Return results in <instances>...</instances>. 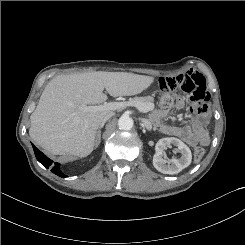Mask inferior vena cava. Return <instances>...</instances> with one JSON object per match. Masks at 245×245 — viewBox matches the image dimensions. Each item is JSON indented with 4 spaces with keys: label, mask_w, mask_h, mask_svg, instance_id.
Wrapping results in <instances>:
<instances>
[{
    "label": "inferior vena cava",
    "mask_w": 245,
    "mask_h": 245,
    "mask_svg": "<svg viewBox=\"0 0 245 245\" xmlns=\"http://www.w3.org/2000/svg\"><path fill=\"white\" fill-rule=\"evenodd\" d=\"M113 115H114L113 112L107 114V115L102 119V121H101V123H100V126H101V125H104L105 122H106L107 120H109Z\"/></svg>",
    "instance_id": "obj_1"
}]
</instances>
